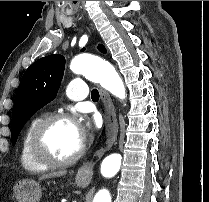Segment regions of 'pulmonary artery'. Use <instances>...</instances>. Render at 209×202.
I'll return each mask as SVG.
<instances>
[{
	"label": "pulmonary artery",
	"instance_id": "1",
	"mask_svg": "<svg viewBox=\"0 0 209 202\" xmlns=\"http://www.w3.org/2000/svg\"><path fill=\"white\" fill-rule=\"evenodd\" d=\"M86 80L78 78L66 85L67 92L73 100H82L87 96Z\"/></svg>",
	"mask_w": 209,
	"mask_h": 202
}]
</instances>
